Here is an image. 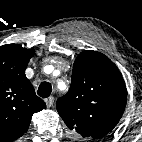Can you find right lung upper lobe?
I'll use <instances>...</instances> for the list:
<instances>
[{"mask_svg": "<svg viewBox=\"0 0 142 142\" xmlns=\"http://www.w3.org/2000/svg\"><path fill=\"white\" fill-rule=\"evenodd\" d=\"M34 53L18 44L0 46V141L21 137L28 130L32 115L46 106L25 76Z\"/></svg>", "mask_w": 142, "mask_h": 142, "instance_id": "obj_1", "label": "right lung upper lobe"}]
</instances>
